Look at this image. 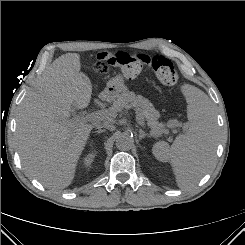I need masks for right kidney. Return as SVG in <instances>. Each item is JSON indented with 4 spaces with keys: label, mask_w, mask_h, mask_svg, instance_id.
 Here are the masks:
<instances>
[{
    "label": "right kidney",
    "mask_w": 245,
    "mask_h": 245,
    "mask_svg": "<svg viewBox=\"0 0 245 245\" xmlns=\"http://www.w3.org/2000/svg\"><path fill=\"white\" fill-rule=\"evenodd\" d=\"M95 153H89V154H87L86 156H85V158L83 159V164L85 165V166H90L91 165V163L93 162V160H94V158H95Z\"/></svg>",
    "instance_id": "obj_1"
}]
</instances>
